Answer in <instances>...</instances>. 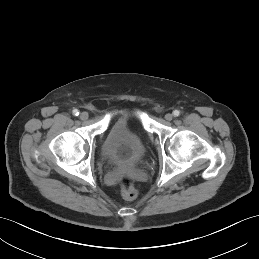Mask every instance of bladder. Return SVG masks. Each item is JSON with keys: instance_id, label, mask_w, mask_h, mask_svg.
Instances as JSON below:
<instances>
[{"instance_id": "obj_1", "label": "bladder", "mask_w": 259, "mask_h": 259, "mask_svg": "<svg viewBox=\"0 0 259 259\" xmlns=\"http://www.w3.org/2000/svg\"><path fill=\"white\" fill-rule=\"evenodd\" d=\"M101 151L104 160L112 165L134 166L145 156L141 136L129 129L127 119L122 116L109 126Z\"/></svg>"}]
</instances>
